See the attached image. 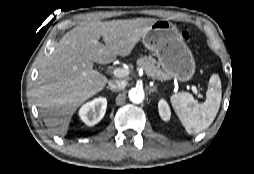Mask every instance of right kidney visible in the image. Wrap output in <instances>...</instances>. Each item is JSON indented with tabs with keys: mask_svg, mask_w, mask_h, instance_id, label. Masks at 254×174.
I'll return each instance as SVG.
<instances>
[{
	"mask_svg": "<svg viewBox=\"0 0 254 174\" xmlns=\"http://www.w3.org/2000/svg\"><path fill=\"white\" fill-rule=\"evenodd\" d=\"M107 108V99L104 97L95 98L84 104L79 110L81 120L87 126H94L105 115Z\"/></svg>",
	"mask_w": 254,
	"mask_h": 174,
	"instance_id": "ca27d5eb",
	"label": "right kidney"
}]
</instances>
